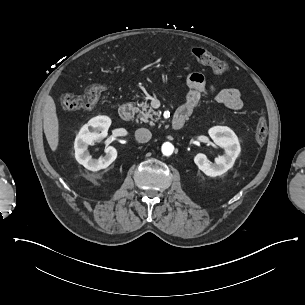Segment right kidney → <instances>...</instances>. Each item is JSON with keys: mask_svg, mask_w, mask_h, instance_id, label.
<instances>
[{"mask_svg": "<svg viewBox=\"0 0 305 305\" xmlns=\"http://www.w3.org/2000/svg\"><path fill=\"white\" fill-rule=\"evenodd\" d=\"M92 126L93 131L90 132L88 127ZM110 126V120L107 117H97L92 119L88 125L82 128L80 134L76 137L74 148L75 158L77 162L83 165L87 170L99 171L107 168L117 158V150L108 146L104 159L91 158L87 151L88 144H94L96 140L102 138L101 134H107ZM104 137V136H103Z\"/></svg>", "mask_w": 305, "mask_h": 305, "instance_id": "ca27d5eb", "label": "right kidney"}]
</instances>
